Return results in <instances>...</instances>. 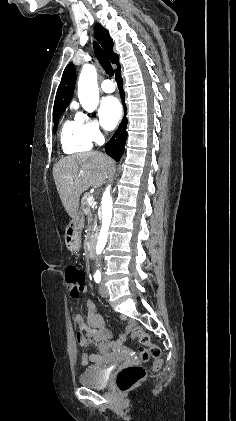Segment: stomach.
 Returning <instances> with one entry per match:
<instances>
[{
    "label": "stomach",
    "instance_id": "obj_1",
    "mask_svg": "<svg viewBox=\"0 0 236 421\" xmlns=\"http://www.w3.org/2000/svg\"><path fill=\"white\" fill-rule=\"evenodd\" d=\"M83 223L84 219L81 213H77L76 217L70 221L65 231V243L68 251H79Z\"/></svg>",
    "mask_w": 236,
    "mask_h": 421
}]
</instances>
